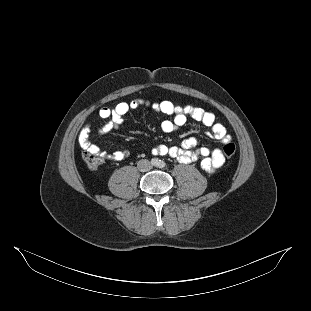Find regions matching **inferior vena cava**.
Segmentation results:
<instances>
[{
	"label": "inferior vena cava",
	"mask_w": 311,
	"mask_h": 311,
	"mask_svg": "<svg viewBox=\"0 0 311 311\" xmlns=\"http://www.w3.org/2000/svg\"><path fill=\"white\" fill-rule=\"evenodd\" d=\"M137 168L141 172H146L152 168V165H151L150 161H148L146 159H142V160L138 161Z\"/></svg>",
	"instance_id": "obj_1"
}]
</instances>
